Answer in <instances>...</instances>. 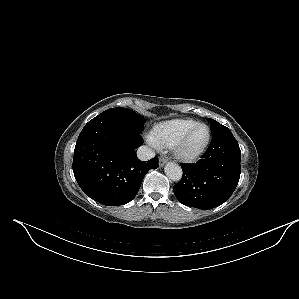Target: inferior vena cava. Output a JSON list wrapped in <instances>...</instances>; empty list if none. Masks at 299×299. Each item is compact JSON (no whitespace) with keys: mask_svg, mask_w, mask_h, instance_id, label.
Here are the masks:
<instances>
[{"mask_svg":"<svg viewBox=\"0 0 299 299\" xmlns=\"http://www.w3.org/2000/svg\"><path fill=\"white\" fill-rule=\"evenodd\" d=\"M137 156L142 161H147L155 156V153L146 146H141L137 150Z\"/></svg>","mask_w":299,"mask_h":299,"instance_id":"1","label":"inferior vena cava"}]
</instances>
